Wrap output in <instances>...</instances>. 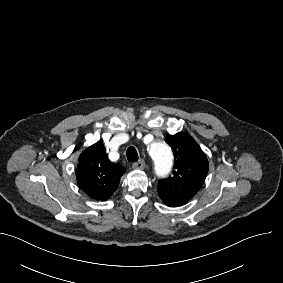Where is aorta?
I'll list each match as a JSON object with an SVG mask.
<instances>
[{
	"label": "aorta",
	"instance_id": "762f6f07",
	"mask_svg": "<svg viewBox=\"0 0 283 283\" xmlns=\"http://www.w3.org/2000/svg\"><path fill=\"white\" fill-rule=\"evenodd\" d=\"M149 154L154 161L158 176L167 175L172 168L173 155L170 147L164 142H155L149 148Z\"/></svg>",
	"mask_w": 283,
	"mask_h": 283
}]
</instances>
